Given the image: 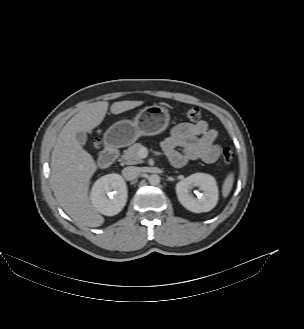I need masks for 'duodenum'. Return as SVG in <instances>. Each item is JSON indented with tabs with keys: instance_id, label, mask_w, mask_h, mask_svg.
I'll return each mask as SVG.
<instances>
[{
	"instance_id": "410a0bca",
	"label": "duodenum",
	"mask_w": 304,
	"mask_h": 329,
	"mask_svg": "<svg viewBox=\"0 0 304 329\" xmlns=\"http://www.w3.org/2000/svg\"><path fill=\"white\" fill-rule=\"evenodd\" d=\"M117 156H118L117 147H115L110 143H107L104 150L100 154L99 163L102 167H107L114 162Z\"/></svg>"
}]
</instances>
